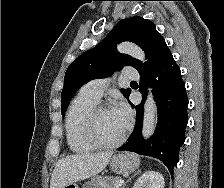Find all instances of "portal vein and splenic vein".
Returning <instances> with one entry per match:
<instances>
[{
    "instance_id": "1",
    "label": "portal vein and splenic vein",
    "mask_w": 224,
    "mask_h": 188,
    "mask_svg": "<svg viewBox=\"0 0 224 188\" xmlns=\"http://www.w3.org/2000/svg\"><path fill=\"white\" fill-rule=\"evenodd\" d=\"M124 184V180L123 179H119L115 184H114V188H119L121 185Z\"/></svg>"
}]
</instances>
